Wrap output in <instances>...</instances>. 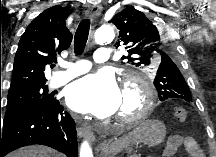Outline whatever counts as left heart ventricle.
Returning a JSON list of instances; mask_svg holds the SVG:
<instances>
[{
  "label": "left heart ventricle",
  "mask_w": 216,
  "mask_h": 157,
  "mask_svg": "<svg viewBox=\"0 0 216 157\" xmlns=\"http://www.w3.org/2000/svg\"><path fill=\"white\" fill-rule=\"evenodd\" d=\"M140 107V97L138 93L129 89L122 93V101L116 115H129L136 112Z\"/></svg>",
  "instance_id": "b2bd125f"
}]
</instances>
